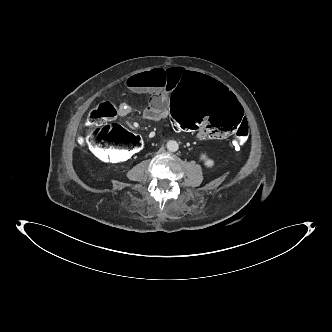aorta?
<instances>
[{"label": "aorta", "instance_id": "762f6f07", "mask_svg": "<svg viewBox=\"0 0 332 332\" xmlns=\"http://www.w3.org/2000/svg\"><path fill=\"white\" fill-rule=\"evenodd\" d=\"M166 146H167V149L171 152H176L179 148L178 143L174 140L168 141Z\"/></svg>", "mask_w": 332, "mask_h": 332}]
</instances>
